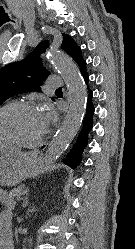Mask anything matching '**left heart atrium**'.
I'll return each mask as SVG.
<instances>
[{
  "mask_svg": "<svg viewBox=\"0 0 135 249\" xmlns=\"http://www.w3.org/2000/svg\"><path fill=\"white\" fill-rule=\"evenodd\" d=\"M41 114L44 126L46 128L54 119V112L52 106L46 105L41 111Z\"/></svg>",
  "mask_w": 135,
  "mask_h": 249,
  "instance_id": "left-heart-atrium-1",
  "label": "left heart atrium"
}]
</instances>
